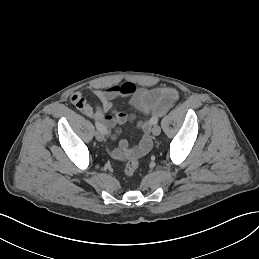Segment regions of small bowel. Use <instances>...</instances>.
I'll return each instance as SVG.
<instances>
[{"mask_svg":"<svg viewBox=\"0 0 259 259\" xmlns=\"http://www.w3.org/2000/svg\"><path fill=\"white\" fill-rule=\"evenodd\" d=\"M91 91L99 99V106L90 105L84 94L79 91L72 94L71 103L85 116L100 122L105 128L114 129L132 118L121 111H116L114 115L107 114L114 107L117 99L131 97V104L148 117L147 120L137 122L142 135L136 147L130 148L127 140H122L118 148L107 147L108 153L117 160L129 157L138 158L148 153L152 147L150 132L154 120L163 116L178 99L177 91L171 87L137 88L132 82L113 85L108 88L94 86ZM116 135L117 132L113 134L112 138H115Z\"/></svg>","mask_w":259,"mask_h":259,"instance_id":"1","label":"small bowel"}]
</instances>
